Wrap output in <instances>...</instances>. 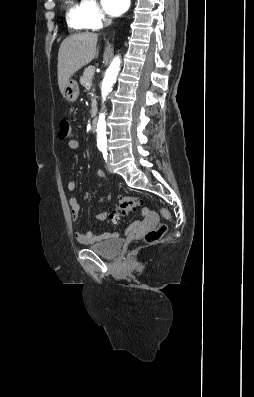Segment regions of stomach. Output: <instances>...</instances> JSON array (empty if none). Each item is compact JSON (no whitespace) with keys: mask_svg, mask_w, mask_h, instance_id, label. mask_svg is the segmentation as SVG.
Here are the masks:
<instances>
[{"mask_svg":"<svg viewBox=\"0 0 254 397\" xmlns=\"http://www.w3.org/2000/svg\"><path fill=\"white\" fill-rule=\"evenodd\" d=\"M62 95L66 101L75 102L79 96V85L77 81L74 79H69Z\"/></svg>","mask_w":254,"mask_h":397,"instance_id":"stomach-1","label":"stomach"}]
</instances>
